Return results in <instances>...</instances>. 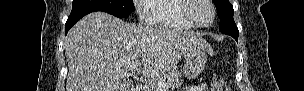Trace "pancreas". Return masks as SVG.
Listing matches in <instances>:
<instances>
[{
	"instance_id": "pancreas-1",
	"label": "pancreas",
	"mask_w": 304,
	"mask_h": 91,
	"mask_svg": "<svg viewBox=\"0 0 304 91\" xmlns=\"http://www.w3.org/2000/svg\"><path fill=\"white\" fill-rule=\"evenodd\" d=\"M181 74L177 70H171L152 80L146 87V91H157L158 83L166 84L167 88L173 90L181 86ZM167 89V90H168Z\"/></svg>"
}]
</instances>
